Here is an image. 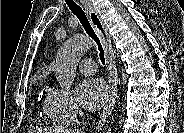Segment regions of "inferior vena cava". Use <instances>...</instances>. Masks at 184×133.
<instances>
[{
  "mask_svg": "<svg viewBox=\"0 0 184 133\" xmlns=\"http://www.w3.org/2000/svg\"><path fill=\"white\" fill-rule=\"evenodd\" d=\"M79 114H80V116H83V112H79ZM84 125H85V123H83V127L80 129V131H77V132H83L84 131Z\"/></svg>",
  "mask_w": 184,
  "mask_h": 133,
  "instance_id": "1",
  "label": "inferior vena cava"
}]
</instances>
